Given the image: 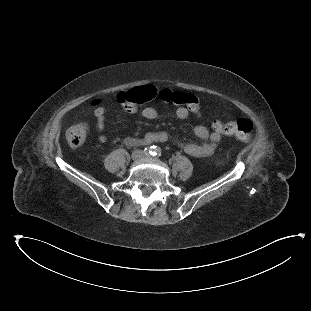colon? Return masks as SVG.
<instances>
[{"instance_id": "obj_1", "label": "colon", "mask_w": 311, "mask_h": 311, "mask_svg": "<svg viewBox=\"0 0 311 311\" xmlns=\"http://www.w3.org/2000/svg\"><path fill=\"white\" fill-rule=\"evenodd\" d=\"M159 97L161 101L166 103H172L177 105L184 106L187 110L191 113L200 116L201 115V106L198 99L194 96L189 94L187 91L183 90H174L171 88H161L158 90L155 86H144L138 89H134L131 91L126 92L119 96V103L123 106L126 111L133 112L137 109L138 104H141L142 100L150 101L155 100L156 97ZM94 105L95 106H102L103 105V98L102 97H95L94 98ZM241 118V120H240ZM237 120V131H239L240 135L238 140L243 144L250 143V122L248 119L244 117H240ZM231 121H220L215 120L213 122L212 128L214 131L222 134L232 135V126H230ZM232 125V124H231ZM231 128V129H230ZM231 130V131H230ZM90 132L89 124L85 121L75 124L67 129L65 133V138L67 143L72 149L79 148L83 142L86 140ZM232 132V133H231Z\"/></svg>"}]
</instances>
